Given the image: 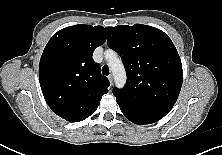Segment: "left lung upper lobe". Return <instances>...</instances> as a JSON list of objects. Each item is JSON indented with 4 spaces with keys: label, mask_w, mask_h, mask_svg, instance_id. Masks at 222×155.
<instances>
[{
    "label": "left lung upper lobe",
    "mask_w": 222,
    "mask_h": 155,
    "mask_svg": "<svg viewBox=\"0 0 222 155\" xmlns=\"http://www.w3.org/2000/svg\"><path fill=\"white\" fill-rule=\"evenodd\" d=\"M107 44L122 58L125 88H114L119 106L163 118L174 106L183 81L179 54L163 31L134 24L106 27Z\"/></svg>",
    "instance_id": "1"
}]
</instances>
